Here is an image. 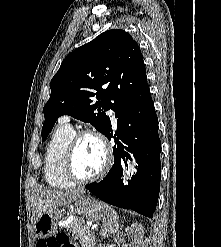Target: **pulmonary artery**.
Wrapping results in <instances>:
<instances>
[{"instance_id":"1","label":"pulmonary artery","mask_w":221,"mask_h":247,"mask_svg":"<svg viewBox=\"0 0 221 247\" xmlns=\"http://www.w3.org/2000/svg\"><path fill=\"white\" fill-rule=\"evenodd\" d=\"M109 114L112 115L114 117V111L113 110H109ZM69 121V118L67 116H63L61 118V122L62 123H67Z\"/></svg>"}]
</instances>
